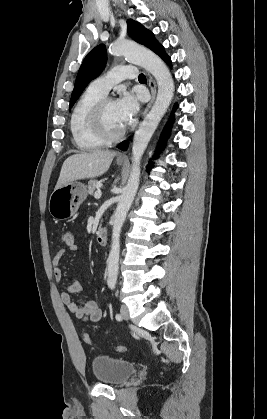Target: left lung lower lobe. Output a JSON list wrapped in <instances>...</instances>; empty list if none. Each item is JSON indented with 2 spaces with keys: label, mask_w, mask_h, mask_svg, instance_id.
I'll list each match as a JSON object with an SVG mask.
<instances>
[{
  "label": "left lung lower lobe",
  "mask_w": 267,
  "mask_h": 419,
  "mask_svg": "<svg viewBox=\"0 0 267 419\" xmlns=\"http://www.w3.org/2000/svg\"><path fill=\"white\" fill-rule=\"evenodd\" d=\"M157 55H159L169 66H171V58L165 53L164 47L161 48V50L157 53ZM176 108H177V104L174 105L173 110H175ZM172 121H173V116L170 117V121L166 125V127H165V129L162 133L159 148H163L164 145H165V141L170 134V128H171ZM127 147H128V142L127 141H123L118 145V148H121L122 150H125ZM150 167L151 166L149 165L147 167V170H149Z\"/></svg>",
  "instance_id": "1"
}]
</instances>
